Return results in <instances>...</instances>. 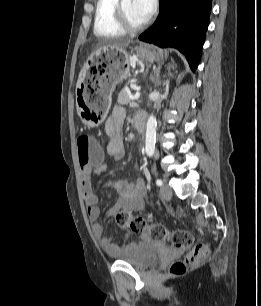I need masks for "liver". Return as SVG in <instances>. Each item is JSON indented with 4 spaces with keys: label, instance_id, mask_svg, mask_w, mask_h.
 I'll use <instances>...</instances> for the list:
<instances>
[{
    "label": "liver",
    "instance_id": "obj_1",
    "mask_svg": "<svg viewBox=\"0 0 261 306\" xmlns=\"http://www.w3.org/2000/svg\"><path fill=\"white\" fill-rule=\"evenodd\" d=\"M130 44V41H118V42H111V43H106L103 45L100 49H124Z\"/></svg>",
    "mask_w": 261,
    "mask_h": 306
}]
</instances>
